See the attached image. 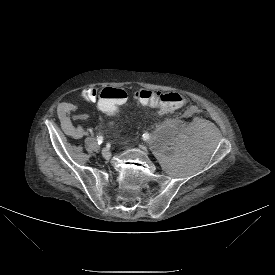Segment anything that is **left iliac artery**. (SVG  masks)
Returning a JSON list of instances; mask_svg holds the SVG:
<instances>
[{
  "instance_id": "1",
  "label": "left iliac artery",
  "mask_w": 275,
  "mask_h": 275,
  "mask_svg": "<svg viewBox=\"0 0 275 275\" xmlns=\"http://www.w3.org/2000/svg\"><path fill=\"white\" fill-rule=\"evenodd\" d=\"M143 139L144 140H148L149 139V134L148 133H144L143 134Z\"/></svg>"
}]
</instances>
